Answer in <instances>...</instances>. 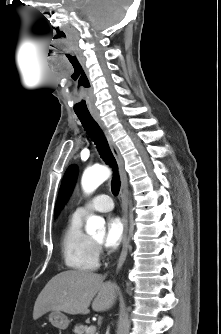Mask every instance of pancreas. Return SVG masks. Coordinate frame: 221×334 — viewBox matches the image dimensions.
<instances>
[{"instance_id": "1", "label": "pancreas", "mask_w": 221, "mask_h": 334, "mask_svg": "<svg viewBox=\"0 0 221 334\" xmlns=\"http://www.w3.org/2000/svg\"><path fill=\"white\" fill-rule=\"evenodd\" d=\"M87 330H88V326H86V325H76L74 327L73 332L75 334H91V333H88ZM93 334H95V333H93Z\"/></svg>"}]
</instances>
